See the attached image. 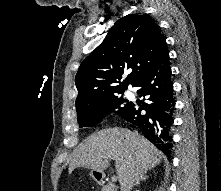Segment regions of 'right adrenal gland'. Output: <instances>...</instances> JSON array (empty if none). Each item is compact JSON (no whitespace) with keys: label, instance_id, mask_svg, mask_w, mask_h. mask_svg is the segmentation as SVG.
<instances>
[{"label":"right adrenal gland","instance_id":"obj_1","mask_svg":"<svg viewBox=\"0 0 221 191\" xmlns=\"http://www.w3.org/2000/svg\"><path fill=\"white\" fill-rule=\"evenodd\" d=\"M148 176L146 175V172L140 173L136 178H135V186H138L141 181H146Z\"/></svg>","mask_w":221,"mask_h":191}]
</instances>
